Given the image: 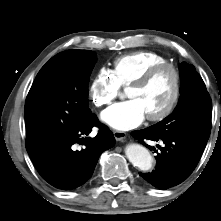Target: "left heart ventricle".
I'll return each mask as SVG.
<instances>
[{"label": "left heart ventricle", "mask_w": 221, "mask_h": 221, "mask_svg": "<svg viewBox=\"0 0 221 221\" xmlns=\"http://www.w3.org/2000/svg\"><path fill=\"white\" fill-rule=\"evenodd\" d=\"M174 88V77L170 70L159 73L144 88H128L127 97L137 99L142 105L146 116L159 113L170 101Z\"/></svg>", "instance_id": "obj_1"}]
</instances>
